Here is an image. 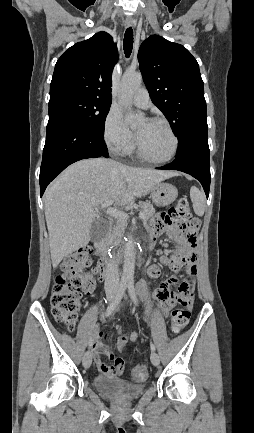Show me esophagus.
<instances>
[{
  "instance_id": "1",
  "label": "esophagus",
  "mask_w": 254,
  "mask_h": 433,
  "mask_svg": "<svg viewBox=\"0 0 254 433\" xmlns=\"http://www.w3.org/2000/svg\"><path fill=\"white\" fill-rule=\"evenodd\" d=\"M132 25H133V20L132 19H126L125 26L126 27H131Z\"/></svg>"
}]
</instances>
